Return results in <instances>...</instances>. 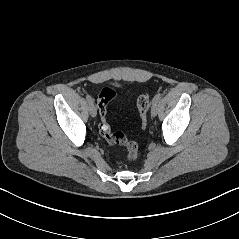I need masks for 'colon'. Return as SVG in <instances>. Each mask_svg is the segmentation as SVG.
I'll list each match as a JSON object with an SVG mask.
<instances>
[{"label": "colon", "mask_w": 239, "mask_h": 239, "mask_svg": "<svg viewBox=\"0 0 239 239\" xmlns=\"http://www.w3.org/2000/svg\"><path fill=\"white\" fill-rule=\"evenodd\" d=\"M115 91L111 88H104L101 90L98 99V111H99V131L100 134L110 144L122 145L128 151V157L131 161H134L138 157V144L135 141L129 140L121 132H113L107 122V106L109 101L115 96ZM150 105V99L146 95H142L137 100V109L140 114L142 128L147 125V112Z\"/></svg>", "instance_id": "5ec220e1"}]
</instances>
